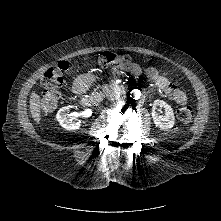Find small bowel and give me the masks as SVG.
Returning <instances> with one entry per match:
<instances>
[{"mask_svg": "<svg viewBox=\"0 0 221 221\" xmlns=\"http://www.w3.org/2000/svg\"><path fill=\"white\" fill-rule=\"evenodd\" d=\"M132 70L135 73L140 71L137 65H131ZM144 73L147 77L150 78L152 85L158 89L166 93L172 100L179 103L182 99L186 98L183 91H181L174 83L169 81L167 78L158 74L155 70H151L146 68ZM94 81L93 75H83L79 77L74 83V92L77 94L86 93L87 88L91 85Z\"/></svg>", "mask_w": 221, "mask_h": 221, "instance_id": "obj_1", "label": "small bowel"}]
</instances>
